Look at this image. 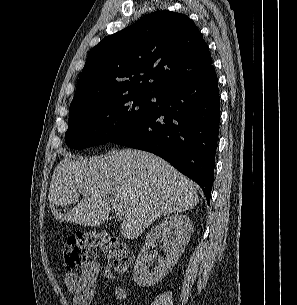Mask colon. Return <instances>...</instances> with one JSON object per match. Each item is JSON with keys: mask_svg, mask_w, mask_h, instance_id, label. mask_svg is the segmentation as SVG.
<instances>
[{"mask_svg": "<svg viewBox=\"0 0 297 305\" xmlns=\"http://www.w3.org/2000/svg\"><path fill=\"white\" fill-rule=\"evenodd\" d=\"M94 252L104 254L114 275H124L130 267L132 257L127 245L110 234L94 229L68 238L63 248V265L67 270H77L91 259Z\"/></svg>", "mask_w": 297, "mask_h": 305, "instance_id": "5ec220e1", "label": "colon"}]
</instances>
